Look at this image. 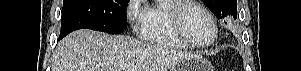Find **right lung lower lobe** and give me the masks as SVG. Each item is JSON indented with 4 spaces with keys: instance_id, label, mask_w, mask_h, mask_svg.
Returning <instances> with one entry per match:
<instances>
[{
    "instance_id": "98d812e1",
    "label": "right lung lower lobe",
    "mask_w": 301,
    "mask_h": 71,
    "mask_svg": "<svg viewBox=\"0 0 301 71\" xmlns=\"http://www.w3.org/2000/svg\"><path fill=\"white\" fill-rule=\"evenodd\" d=\"M61 38H63V36H62V35H60L59 39H61Z\"/></svg>"
}]
</instances>
